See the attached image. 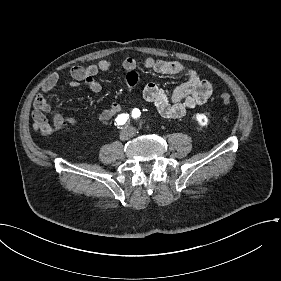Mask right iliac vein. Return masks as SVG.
<instances>
[{"mask_svg": "<svg viewBox=\"0 0 281 281\" xmlns=\"http://www.w3.org/2000/svg\"><path fill=\"white\" fill-rule=\"evenodd\" d=\"M127 137H128V131H127V130L121 131V133H120V139H121V140H125V139H127Z\"/></svg>", "mask_w": 281, "mask_h": 281, "instance_id": "1", "label": "right iliac vein"}]
</instances>
